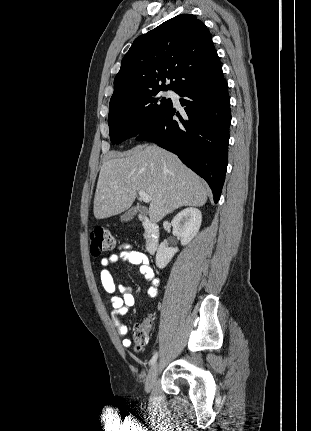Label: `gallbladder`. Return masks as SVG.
<instances>
[{
  "label": "gallbladder",
  "mask_w": 311,
  "mask_h": 431,
  "mask_svg": "<svg viewBox=\"0 0 311 431\" xmlns=\"http://www.w3.org/2000/svg\"><path fill=\"white\" fill-rule=\"evenodd\" d=\"M137 212H143V214H146L147 210L146 208H142V206H135V208H130V210H127L125 214H122L119 219L120 221H130V219H133V217L136 216Z\"/></svg>",
  "instance_id": "gallbladder-1"
}]
</instances>
